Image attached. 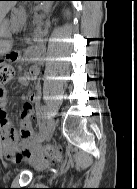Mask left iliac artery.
I'll return each instance as SVG.
<instances>
[{
  "instance_id": "1",
  "label": "left iliac artery",
  "mask_w": 137,
  "mask_h": 189,
  "mask_svg": "<svg viewBox=\"0 0 137 189\" xmlns=\"http://www.w3.org/2000/svg\"><path fill=\"white\" fill-rule=\"evenodd\" d=\"M44 113H45V108H44V107H41V108H40V111L37 113L38 124H39L37 136H41L43 127H45V125H44V123H43Z\"/></svg>"
}]
</instances>
